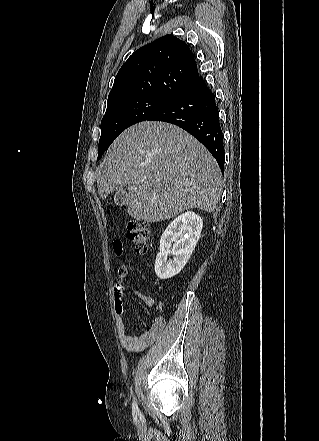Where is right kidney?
I'll list each match as a JSON object with an SVG mask.
<instances>
[{"mask_svg":"<svg viewBox=\"0 0 319 441\" xmlns=\"http://www.w3.org/2000/svg\"><path fill=\"white\" fill-rule=\"evenodd\" d=\"M202 227L203 219L194 212H185L168 225L161 236L160 251L155 260V273L160 279L171 278L183 269L199 240ZM170 252L174 259L167 261Z\"/></svg>","mask_w":319,"mask_h":441,"instance_id":"right-kidney-1","label":"right kidney"}]
</instances>
